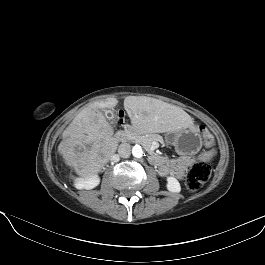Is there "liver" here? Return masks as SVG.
I'll list each match as a JSON object with an SVG mask.
<instances>
[{
    "mask_svg": "<svg viewBox=\"0 0 265 265\" xmlns=\"http://www.w3.org/2000/svg\"><path fill=\"white\" fill-rule=\"evenodd\" d=\"M116 98L94 102L83 108L62 133L58 152L67 166L80 178H88L102 170L116 152L118 139L102 112L114 108ZM124 108L131 123L149 132H176L193 129V119L181 108L155 98L127 96Z\"/></svg>",
    "mask_w": 265,
    "mask_h": 265,
    "instance_id": "obj_1",
    "label": "liver"
}]
</instances>
